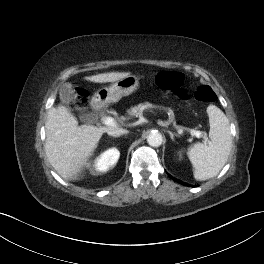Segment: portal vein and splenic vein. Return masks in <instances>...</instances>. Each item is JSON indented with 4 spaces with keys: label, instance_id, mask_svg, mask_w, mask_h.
<instances>
[{
    "label": "portal vein and splenic vein",
    "instance_id": "18ae733b",
    "mask_svg": "<svg viewBox=\"0 0 264 264\" xmlns=\"http://www.w3.org/2000/svg\"><path fill=\"white\" fill-rule=\"evenodd\" d=\"M102 123H103L104 125H107V126H115V125H116V123H115V121H114V119H113L112 117H105V118L102 120ZM175 127H176V128H179V126H175ZM190 133H191L192 136H196V137H198V138L203 137L204 140H205V142H208V141H209L208 138H207V136L203 135V133H202L201 131H197V130H193V129H191V130H190Z\"/></svg>",
    "mask_w": 264,
    "mask_h": 264
}]
</instances>
